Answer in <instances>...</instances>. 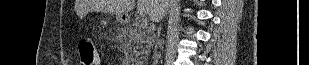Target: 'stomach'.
I'll return each instance as SVG.
<instances>
[{"label":"stomach","instance_id":"1","mask_svg":"<svg viewBox=\"0 0 309 65\" xmlns=\"http://www.w3.org/2000/svg\"><path fill=\"white\" fill-rule=\"evenodd\" d=\"M116 20H117V22H119L120 24H126V23H127V16L124 15V14L116 15Z\"/></svg>","mask_w":309,"mask_h":65}]
</instances>
